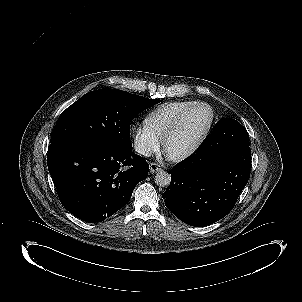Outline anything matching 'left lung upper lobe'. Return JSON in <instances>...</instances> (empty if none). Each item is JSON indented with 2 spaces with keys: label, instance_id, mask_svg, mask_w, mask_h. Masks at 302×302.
Segmentation results:
<instances>
[{
  "label": "left lung upper lobe",
  "instance_id": "1",
  "mask_svg": "<svg viewBox=\"0 0 302 302\" xmlns=\"http://www.w3.org/2000/svg\"><path fill=\"white\" fill-rule=\"evenodd\" d=\"M211 147L220 153L238 152L242 147H249V136L238 121L223 119L217 123L200 149Z\"/></svg>",
  "mask_w": 302,
  "mask_h": 302
}]
</instances>
